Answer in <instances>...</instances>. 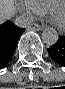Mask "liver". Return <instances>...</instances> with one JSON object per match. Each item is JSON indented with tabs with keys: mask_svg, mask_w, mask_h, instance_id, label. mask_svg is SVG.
Instances as JSON below:
<instances>
[{
	"mask_svg": "<svg viewBox=\"0 0 65 89\" xmlns=\"http://www.w3.org/2000/svg\"><path fill=\"white\" fill-rule=\"evenodd\" d=\"M15 14V2L13 0H0V21L4 22Z\"/></svg>",
	"mask_w": 65,
	"mask_h": 89,
	"instance_id": "6515ba94",
	"label": "liver"
}]
</instances>
